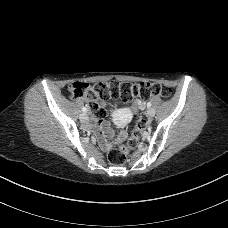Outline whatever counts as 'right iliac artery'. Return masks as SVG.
<instances>
[{
    "mask_svg": "<svg viewBox=\"0 0 228 228\" xmlns=\"http://www.w3.org/2000/svg\"><path fill=\"white\" fill-rule=\"evenodd\" d=\"M82 111H83L84 113H86V112H87L86 107H83V108H82Z\"/></svg>",
    "mask_w": 228,
    "mask_h": 228,
    "instance_id": "right-iliac-artery-1",
    "label": "right iliac artery"
}]
</instances>
